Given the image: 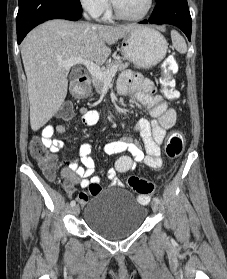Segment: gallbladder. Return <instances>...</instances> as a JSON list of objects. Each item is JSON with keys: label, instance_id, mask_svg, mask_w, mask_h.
<instances>
[{"label": "gallbladder", "instance_id": "bac80fb5", "mask_svg": "<svg viewBox=\"0 0 227 279\" xmlns=\"http://www.w3.org/2000/svg\"><path fill=\"white\" fill-rule=\"evenodd\" d=\"M76 75H77V73H76V72H73V73L71 74V77H76Z\"/></svg>", "mask_w": 227, "mask_h": 279}]
</instances>
